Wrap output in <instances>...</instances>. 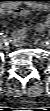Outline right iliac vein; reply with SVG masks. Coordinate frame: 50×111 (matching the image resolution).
<instances>
[{
	"instance_id": "63e3f726",
	"label": "right iliac vein",
	"mask_w": 50,
	"mask_h": 111,
	"mask_svg": "<svg viewBox=\"0 0 50 111\" xmlns=\"http://www.w3.org/2000/svg\"><path fill=\"white\" fill-rule=\"evenodd\" d=\"M0 43L4 44V39L3 38H1Z\"/></svg>"
}]
</instances>
